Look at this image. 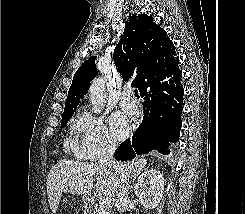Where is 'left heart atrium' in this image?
Returning a JSON list of instances; mask_svg holds the SVG:
<instances>
[{
	"label": "left heart atrium",
	"instance_id": "39dd6f15",
	"mask_svg": "<svg viewBox=\"0 0 245 214\" xmlns=\"http://www.w3.org/2000/svg\"><path fill=\"white\" fill-rule=\"evenodd\" d=\"M109 123H110L111 132L115 137V139L122 140L128 135L129 127L126 120L122 116L118 114H114L110 118Z\"/></svg>",
	"mask_w": 245,
	"mask_h": 214
}]
</instances>
